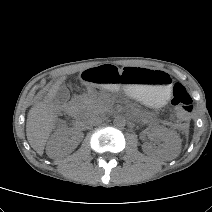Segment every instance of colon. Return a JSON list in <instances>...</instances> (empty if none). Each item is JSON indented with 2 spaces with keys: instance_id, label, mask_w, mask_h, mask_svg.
I'll return each instance as SVG.
<instances>
[{
  "instance_id": "5ec220e1",
  "label": "colon",
  "mask_w": 212,
  "mask_h": 212,
  "mask_svg": "<svg viewBox=\"0 0 212 212\" xmlns=\"http://www.w3.org/2000/svg\"><path fill=\"white\" fill-rule=\"evenodd\" d=\"M172 105L180 119H186L193 110V100L185 86L176 83L172 89Z\"/></svg>"
}]
</instances>
